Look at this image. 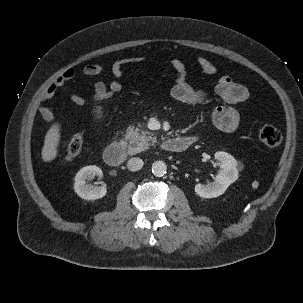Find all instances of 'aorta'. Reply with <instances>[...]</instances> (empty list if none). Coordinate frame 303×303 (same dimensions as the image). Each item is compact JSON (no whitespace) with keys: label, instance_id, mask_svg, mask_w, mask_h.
Listing matches in <instances>:
<instances>
[{"label":"aorta","instance_id":"762f6f07","mask_svg":"<svg viewBox=\"0 0 303 303\" xmlns=\"http://www.w3.org/2000/svg\"><path fill=\"white\" fill-rule=\"evenodd\" d=\"M167 172V165L165 162L163 161H155L152 164V173L157 176V177H161L163 175H165Z\"/></svg>","mask_w":303,"mask_h":303}]
</instances>
